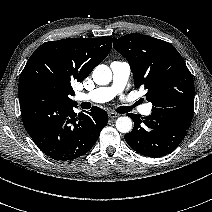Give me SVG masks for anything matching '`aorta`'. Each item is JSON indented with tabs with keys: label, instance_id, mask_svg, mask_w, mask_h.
Masks as SVG:
<instances>
[{
	"label": "aorta",
	"instance_id": "1",
	"mask_svg": "<svg viewBox=\"0 0 212 212\" xmlns=\"http://www.w3.org/2000/svg\"><path fill=\"white\" fill-rule=\"evenodd\" d=\"M93 80L98 85H107L112 80L111 69L104 64L95 67L92 73ZM116 128L121 133H128L132 129V120L127 117H119L116 120Z\"/></svg>",
	"mask_w": 212,
	"mask_h": 212
}]
</instances>
